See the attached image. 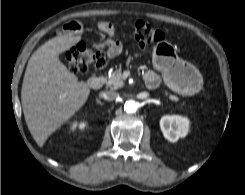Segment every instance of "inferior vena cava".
<instances>
[{"instance_id":"602c4592","label":"inferior vena cava","mask_w":245,"mask_h":195,"mask_svg":"<svg viewBox=\"0 0 245 195\" xmlns=\"http://www.w3.org/2000/svg\"><path fill=\"white\" fill-rule=\"evenodd\" d=\"M101 98H104L105 100H115L117 97H119V94L115 91H106V92H101L99 94Z\"/></svg>"}]
</instances>
